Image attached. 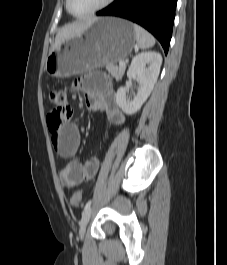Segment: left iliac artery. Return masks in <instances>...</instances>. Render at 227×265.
I'll use <instances>...</instances> for the list:
<instances>
[{
	"mask_svg": "<svg viewBox=\"0 0 227 265\" xmlns=\"http://www.w3.org/2000/svg\"><path fill=\"white\" fill-rule=\"evenodd\" d=\"M91 203H92V200H89V201L86 203V205H85V207H84V211L87 210V209L90 207Z\"/></svg>",
	"mask_w": 227,
	"mask_h": 265,
	"instance_id": "44dca946",
	"label": "left iliac artery"
}]
</instances>
